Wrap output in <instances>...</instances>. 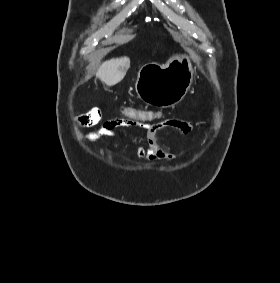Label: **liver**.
<instances>
[{"mask_svg":"<svg viewBox=\"0 0 280 283\" xmlns=\"http://www.w3.org/2000/svg\"><path fill=\"white\" fill-rule=\"evenodd\" d=\"M130 68V59L128 57L113 58L105 61L98 69L96 77L107 86H113L119 83Z\"/></svg>","mask_w":280,"mask_h":283,"instance_id":"liver-1","label":"liver"}]
</instances>
